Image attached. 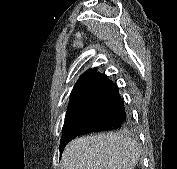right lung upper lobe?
Instances as JSON below:
<instances>
[{
	"mask_svg": "<svg viewBox=\"0 0 177 169\" xmlns=\"http://www.w3.org/2000/svg\"><path fill=\"white\" fill-rule=\"evenodd\" d=\"M96 73L95 69L85 72L75 84L71 96L86 92L87 83Z\"/></svg>",
	"mask_w": 177,
	"mask_h": 169,
	"instance_id": "right-lung-upper-lobe-1",
	"label": "right lung upper lobe"
}]
</instances>
